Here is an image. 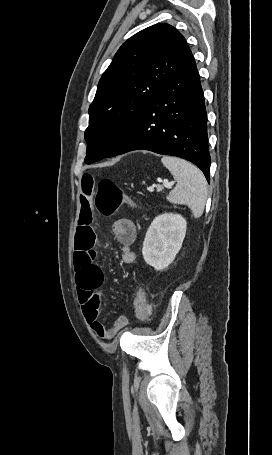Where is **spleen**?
Here are the masks:
<instances>
[{
	"instance_id": "3e777b00",
	"label": "spleen",
	"mask_w": 272,
	"mask_h": 455,
	"mask_svg": "<svg viewBox=\"0 0 272 455\" xmlns=\"http://www.w3.org/2000/svg\"><path fill=\"white\" fill-rule=\"evenodd\" d=\"M161 161L177 182L167 197L168 201L187 205L195 218L201 217L207 198V182L203 173L183 159L163 156Z\"/></svg>"
}]
</instances>
